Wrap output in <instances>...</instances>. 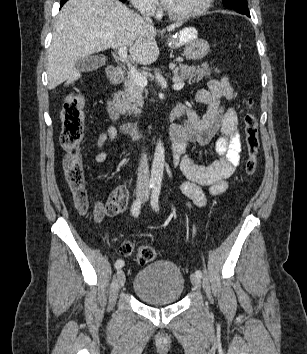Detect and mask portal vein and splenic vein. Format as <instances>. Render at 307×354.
Segmentation results:
<instances>
[{"mask_svg":"<svg viewBox=\"0 0 307 354\" xmlns=\"http://www.w3.org/2000/svg\"><path fill=\"white\" fill-rule=\"evenodd\" d=\"M118 55L119 59L123 62H125L129 68V75L131 79L134 81V83L142 88H144L147 85V78L139 73L137 69L129 62L127 58V47L122 46L118 50ZM174 85L173 89L174 90H181L184 87V83L178 82V80H174Z\"/></svg>","mask_w":307,"mask_h":354,"instance_id":"obj_1","label":"portal vein and splenic vein"}]
</instances>
